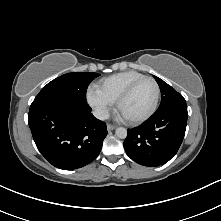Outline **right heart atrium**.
<instances>
[{"mask_svg":"<svg viewBox=\"0 0 221 221\" xmlns=\"http://www.w3.org/2000/svg\"><path fill=\"white\" fill-rule=\"evenodd\" d=\"M86 99L89 105L96 111L97 115L105 118L112 107V103L102 96L97 89L90 88L87 90Z\"/></svg>","mask_w":221,"mask_h":221,"instance_id":"right-heart-atrium-1","label":"right heart atrium"}]
</instances>
